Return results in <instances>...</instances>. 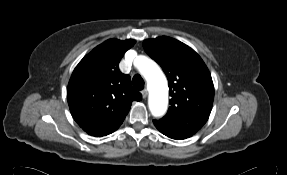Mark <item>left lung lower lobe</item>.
Returning a JSON list of instances; mask_svg holds the SVG:
<instances>
[{
    "mask_svg": "<svg viewBox=\"0 0 287 175\" xmlns=\"http://www.w3.org/2000/svg\"><path fill=\"white\" fill-rule=\"evenodd\" d=\"M154 125L156 126V128H157L161 133H163L164 135H166V136H168V137H170V138H172V139H176V140L184 139V138H182V137H180V136H177V135H175L174 133H172V132H170V131H168V130H166V129H164V128H162V127L156 125V124H154Z\"/></svg>",
    "mask_w": 287,
    "mask_h": 175,
    "instance_id": "1",
    "label": "left lung lower lobe"
}]
</instances>
